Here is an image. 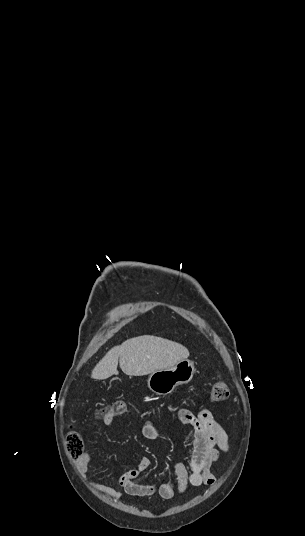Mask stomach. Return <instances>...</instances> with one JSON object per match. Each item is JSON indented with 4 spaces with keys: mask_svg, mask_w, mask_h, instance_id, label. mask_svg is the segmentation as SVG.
I'll return each mask as SVG.
<instances>
[{
    "mask_svg": "<svg viewBox=\"0 0 305 536\" xmlns=\"http://www.w3.org/2000/svg\"><path fill=\"white\" fill-rule=\"evenodd\" d=\"M195 374L194 362L191 360H181L175 366L167 370H156L150 374L147 384L149 390L157 396H167L175 390L176 386L188 384Z\"/></svg>",
    "mask_w": 305,
    "mask_h": 536,
    "instance_id": "1",
    "label": "stomach"
}]
</instances>
